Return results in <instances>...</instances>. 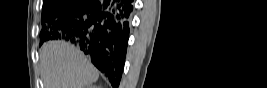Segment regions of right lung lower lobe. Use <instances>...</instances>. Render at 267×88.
Segmentation results:
<instances>
[{"instance_id": "right-lung-lower-lobe-1", "label": "right lung lower lobe", "mask_w": 267, "mask_h": 88, "mask_svg": "<svg viewBox=\"0 0 267 88\" xmlns=\"http://www.w3.org/2000/svg\"><path fill=\"white\" fill-rule=\"evenodd\" d=\"M133 0H78L44 27L49 39L75 43L118 87L128 46Z\"/></svg>"}]
</instances>
